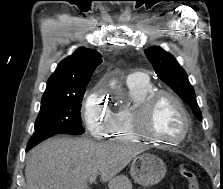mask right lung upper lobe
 I'll return each mask as SVG.
<instances>
[{
	"label": "right lung upper lobe",
	"mask_w": 223,
	"mask_h": 189,
	"mask_svg": "<svg viewBox=\"0 0 223 189\" xmlns=\"http://www.w3.org/2000/svg\"><path fill=\"white\" fill-rule=\"evenodd\" d=\"M101 62L100 53L80 47L59 63L47 82L44 94L75 93L85 88Z\"/></svg>",
	"instance_id": "1"
}]
</instances>
